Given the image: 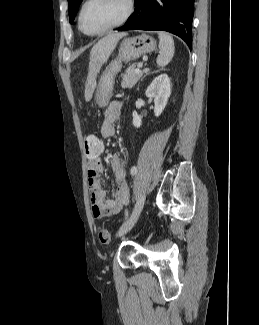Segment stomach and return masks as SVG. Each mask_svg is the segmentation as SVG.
Returning <instances> with one entry per match:
<instances>
[{"label":"stomach","mask_w":259,"mask_h":325,"mask_svg":"<svg viewBox=\"0 0 259 325\" xmlns=\"http://www.w3.org/2000/svg\"><path fill=\"white\" fill-rule=\"evenodd\" d=\"M155 47V40L146 34L126 38L121 42L118 57L108 65L98 82L96 103L100 107H105L112 96L115 76L121 70L122 62L134 61Z\"/></svg>","instance_id":"obj_1"}]
</instances>
